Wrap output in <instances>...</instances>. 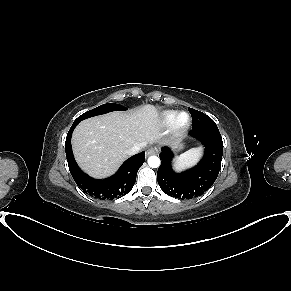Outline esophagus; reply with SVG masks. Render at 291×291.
<instances>
[{
  "label": "esophagus",
  "instance_id": "34e87169",
  "mask_svg": "<svg viewBox=\"0 0 291 291\" xmlns=\"http://www.w3.org/2000/svg\"><path fill=\"white\" fill-rule=\"evenodd\" d=\"M157 152L158 150L156 148H149L146 152V155L150 156V155L156 154Z\"/></svg>",
  "mask_w": 291,
  "mask_h": 291
}]
</instances>
